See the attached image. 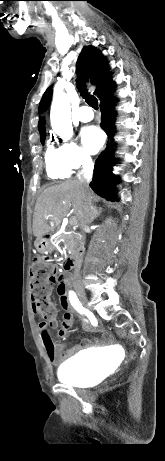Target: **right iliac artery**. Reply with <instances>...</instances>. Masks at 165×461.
<instances>
[{
    "label": "right iliac artery",
    "instance_id": "right-iliac-artery-1",
    "mask_svg": "<svg viewBox=\"0 0 165 461\" xmlns=\"http://www.w3.org/2000/svg\"><path fill=\"white\" fill-rule=\"evenodd\" d=\"M69 299H70V302L72 304V306L81 314L85 313V308L81 305V303L79 302L76 294L71 291L69 292Z\"/></svg>",
    "mask_w": 165,
    "mask_h": 461
}]
</instances>
